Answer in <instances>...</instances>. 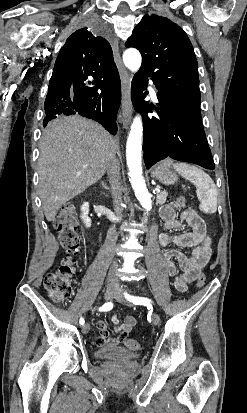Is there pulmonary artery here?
<instances>
[{"label":"pulmonary artery","instance_id":"1","mask_svg":"<svg viewBox=\"0 0 247 413\" xmlns=\"http://www.w3.org/2000/svg\"><path fill=\"white\" fill-rule=\"evenodd\" d=\"M150 95H151L153 100L157 99L156 89H155V86L153 84H151V86H150Z\"/></svg>","mask_w":247,"mask_h":413}]
</instances>
